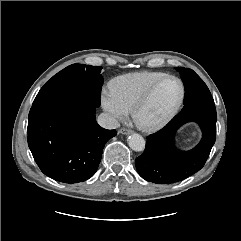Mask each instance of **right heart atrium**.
I'll list each match as a JSON object with an SVG mask.
<instances>
[{"label": "right heart atrium", "mask_w": 241, "mask_h": 241, "mask_svg": "<svg viewBox=\"0 0 241 241\" xmlns=\"http://www.w3.org/2000/svg\"><path fill=\"white\" fill-rule=\"evenodd\" d=\"M101 105L113 121H120L128 114V110L119 102L111 89L102 90Z\"/></svg>", "instance_id": "right-heart-atrium-1"}]
</instances>
